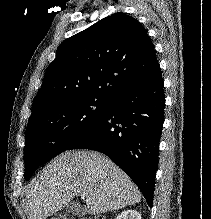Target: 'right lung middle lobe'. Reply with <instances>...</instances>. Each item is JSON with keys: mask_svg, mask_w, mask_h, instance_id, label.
Returning <instances> with one entry per match:
<instances>
[{"mask_svg": "<svg viewBox=\"0 0 211 219\" xmlns=\"http://www.w3.org/2000/svg\"><path fill=\"white\" fill-rule=\"evenodd\" d=\"M110 102L98 97L83 98L29 120L25 134V179L95 126Z\"/></svg>", "mask_w": 211, "mask_h": 219, "instance_id": "right-lung-middle-lobe-1", "label": "right lung middle lobe"}]
</instances>
